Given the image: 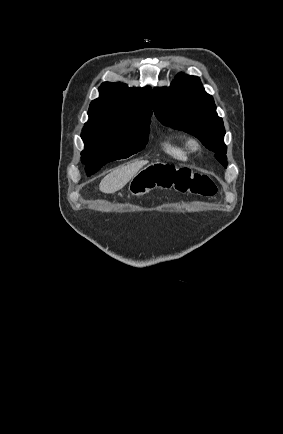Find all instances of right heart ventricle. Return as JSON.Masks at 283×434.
<instances>
[{
	"label": "right heart ventricle",
	"instance_id": "obj_1",
	"mask_svg": "<svg viewBox=\"0 0 283 434\" xmlns=\"http://www.w3.org/2000/svg\"><path fill=\"white\" fill-rule=\"evenodd\" d=\"M163 151L169 156L185 161L189 158V149L184 141H166L162 144Z\"/></svg>",
	"mask_w": 283,
	"mask_h": 434
}]
</instances>
